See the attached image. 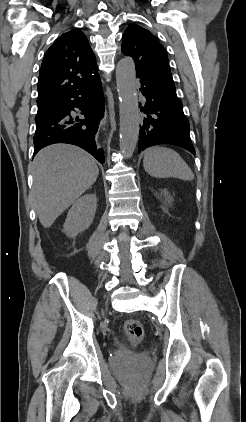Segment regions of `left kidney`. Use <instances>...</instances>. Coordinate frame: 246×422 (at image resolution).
I'll use <instances>...</instances> for the list:
<instances>
[{
	"label": "left kidney",
	"instance_id": "5707ae66",
	"mask_svg": "<svg viewBox=\"0 0 246 422\" xmlns=\"http://www.w3.org/2000/svg\"><path fill=\"white\" fill-rule=\"evenodd\" d=\"M163 194H164V196H165L166 200H167L169 203H170V202H172L173 197H172V196H170L169 192H168L166 189H164V190H163Z\"/></svg>",
	"mask_w": 246,
	"mask_h": 422
}]
</instances>
